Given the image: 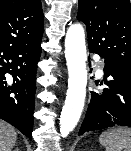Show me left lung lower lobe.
<instances>
[{"instance_id":"0a47b994","label":"left lung lower lobe","mask_w":131,"mask_h":151,"mask_svg":"<svg viewBox=\"0 0 131 151\" xmlns=\"http://www.w3.org/2000/svg\"><path fill=\"white\" fill-rule=\"evenodd\" d=\"M91 52V51H90ZM102 93L91 92V101L78 135L109 127H131V72L105 61Z\"/></svg>"}]
</instances>
